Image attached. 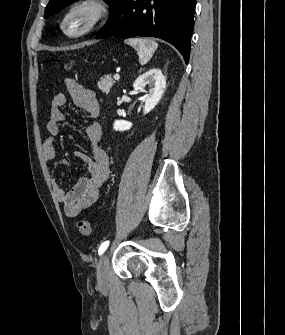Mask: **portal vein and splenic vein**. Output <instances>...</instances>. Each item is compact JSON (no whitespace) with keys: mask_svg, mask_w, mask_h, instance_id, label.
Returning <instances> with one entry per match:
<instances>
[{"mask_svg":"<svg viewBox=\"0 0 285 335\" xmlns=\"http://www.w3.org/2000/svg\"><path fill=\"white\" fill-rule=\"evenodd\" d=\"M113 78H114V80H120L119 74H114Z\"/></svg>","mask_w":285,"mask_h":335,"instance_id":"18ae733b","label":"portal vein and splenic vein"}]
</instances>
